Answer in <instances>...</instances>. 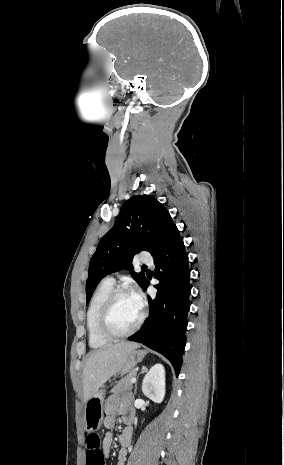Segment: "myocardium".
Returning a JSON list of instances; mask_svg holds the SVG:
<instances>
[{"label": "myocardium", "mask_w": 284, "mask_h": 465, "mask_svg": "<svg viewBox=\"0 0 284 465\" xmlns=\"http://www.w3.org/2000/svg\"><path fill=\"white\" fill-rule=\"evenodd\" d=\"M127 295L133 296L134 294L131 291L126 290V289H114L109 295V297L106 299L101 309V312L99 314L98 321H97V332L100 337H102L103 339L109 342H120V341H124L126 339L131 338L140 329L141 325L143 324L147 316V311L144 305L141 303L140 304L141 316H140L139 321L132 328V330L124 335H115L114 333H112V331L110 330L109 323H110V318H111L113 308L119 298L123 296H127Z\"/></svg>", "instance_id": "f54148a6"}]
</instances>
